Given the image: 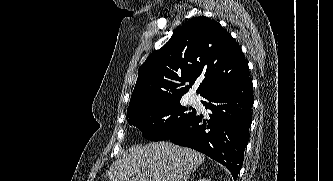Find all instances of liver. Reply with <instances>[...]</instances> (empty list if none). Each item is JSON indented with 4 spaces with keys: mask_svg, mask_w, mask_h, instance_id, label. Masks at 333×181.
<instances>
[{
    "mask_svg": "<svg viewBox=\"0 0 333 181\" xmlns=\"http://www.w3.org/2000/svg\"><path fill=\"white\" fill-rule=\"evenodd\" d=\"M205 155L169 142L134 146L107 171L110 181H188Z\"/></svg>",
    "mask_w": 333,
    "mask_h": 181,
    "instance_id": "obj_1",
    "label": "liver"
}]
</instances>
